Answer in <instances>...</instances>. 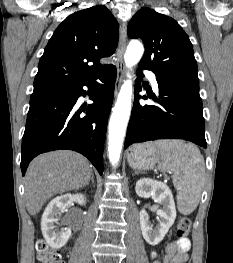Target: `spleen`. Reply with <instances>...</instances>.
I'll list each match as a JSON object with an SVG mask.
<instances>
[{"label": "spleen", "mask_w": 233, "mask_h": 263, "mask_svg": "<svg viewBox=\"0 0 233 263\" xmlns=\"http://www.w3.org/2000/svg\"><path fill=\"white\" fill-rule=\"evenodd\" d=\"M156 145L166 152L158 169L173 173L177 208L180 213L188 215L197 208L203 190L204 158L197 146L182 140H161Z\"/></svg>", "instance_id": "spleen-1"}]
</instances>
